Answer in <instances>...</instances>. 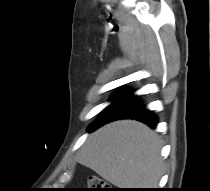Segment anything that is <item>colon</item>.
Returning a JSON list of instances; mask_svg holds the SVG:
<instances>
[{
    "mask_svg": "<svg viewBox=\"0 0 210 191\" xmlns=\"http://www.w3.org/2000/svg\"><path fill=\"white\" fill-rule=\"evenodd\" d=\"M85 191H112V188L103 179L91 176L88 180V188Z\"/></svg>",
    "mask_w": 210,
    "mask_h": 191,
    "instance_id": "colon-1",
    "label": "colon"
}]
</instances>
